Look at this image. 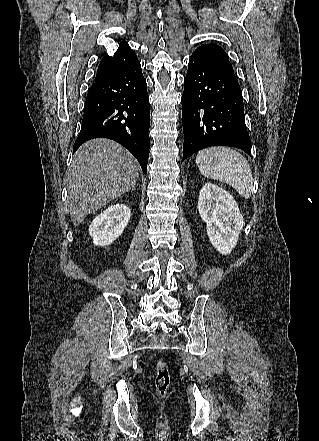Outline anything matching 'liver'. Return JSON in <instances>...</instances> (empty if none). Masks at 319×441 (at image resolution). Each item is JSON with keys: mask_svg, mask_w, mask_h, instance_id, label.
I'll list each match as a JSON object with an SVG mask.
<instances>
[{"mask_svg": "<svg viewBox=\"0 0 319 441\" xmlns=\"http://www.w3.org/2000/svg\"><path fill=\"white\" fill-rule=\"evenodd\" d=\"M138 161L118 143L92 139L75 153L68 170L67 204L78 226L87 215L130 191L140 173Z\"/></svg>", "mask_w": 319, "mask_h": 441, "instance_id": "1", "label": "liver"}]
</instances>
